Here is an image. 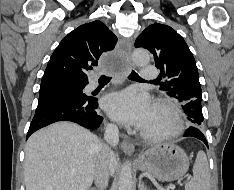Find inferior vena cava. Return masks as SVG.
Here are the masks:
<instances>
[{"instance_id":"obj_1","label":"inferior vena cava","mask_w":234,"mask_h":190,"mask_svg":"<svg viewBox=\"0 0 234 190\" xmlns=\"http://www.w3.org/2000/svg\"><path fill=\"white\" fill-rule=\"evenodd\" d=\"M104 139L108 144L101 146L94 174V180L98 190H104L108 185L110 161L114 156L110 146H116L119 142L118 127L113 124H108L105 129Z\"/></svg>"}]
</instances>
